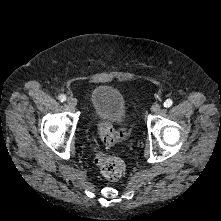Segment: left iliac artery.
I'll return each instance as SVG.
<instances>
[{
	"label": "left iliac artery",
	"instance_id": "left-iliac-artery-1",
	"mask_svg": "<svg viewBox=\"0 0 221 221\" xmlns=\"http://www.w3.org/2000/svg\"><path fill=\"white\" fill-rule=\"evenodd\" d=\"M173 102L171 99H167L165 102H164V107H170L172 106Z\"/></svg>",
	"mask_w": 221,
	"mask_h": 221
}]
</instances>
